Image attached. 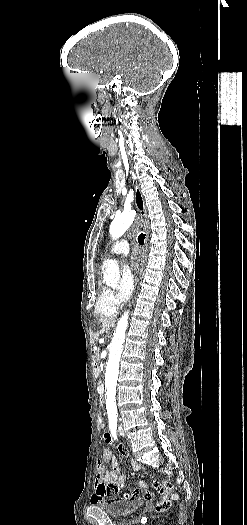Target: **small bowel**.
I'll list each match as a JSON object with an SVG mask.
<instances>
[{"label": "small bowel", "mask_w": 247, "mask_h": 525, "mask_svg": "<svg viewBox=\"0 0 247 525\" xmlns=\"http://www.w3.org/2000/svg\"><path fill=\"white\" fill-rule=\"evenodd\" d=\"M103 439L109 445H117L119 450L123 454L125 453V450L122 448L121 445L117 444L111 432H105L103 434ZM110 462L113 464V470L107 471L105 469V465ZM131 463L133 469H130L129 473L135 474L137 473V470H139L140 464L136 460H132ZM96 467V493L92 496L93 506H116V504L118 503V498L116 497V495L118 494L119 488L125 482V475L121 471L120 463L117 457L109 448H105L102 453V457L97 460ZM145 486L146 481L144 479L137 480L136 485L134 487L135 491H132V494L129 493L124 495L123 499L130 500L132 504H141L143 502V495L141 494V492H143ZM155 486H158V488H160V490L164 492L166 496H169L171 494L172 483L170 480H160L158 481V483H155ZM144 494L146 495L144 497V500L146 502H150L152 500V497L150 496L151 491L149 489H146L144 491ZM164 505L165 507H163V505L161 504L156 505V512L161 513L163 512V510L169 512L171 510V502L169 500H166L164 502Z\"/></svg>", "instance_id": "obj_1"}]
</instances>
